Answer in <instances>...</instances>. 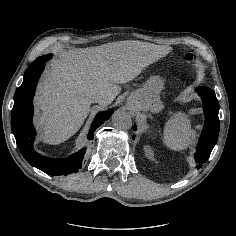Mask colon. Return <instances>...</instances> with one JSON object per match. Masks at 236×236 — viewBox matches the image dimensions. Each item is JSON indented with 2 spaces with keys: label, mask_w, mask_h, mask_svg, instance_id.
<instances>
[{
  "label": "colon",
  "mask_w": 236,
  "mask_h": 236,
  "mask_svg": "<svg viewBox=\"0 0 236 236\" xmlns=\"http://www.w3.org/2000/svg\"><path fill=\"white\" fill-rule=\"evenodd\" d=\"M184 61L189 64H195V65L198 64L197 57L191 52L185 54Z\"/></svg>",
  "instance_id": "1"
}]
</instances>
